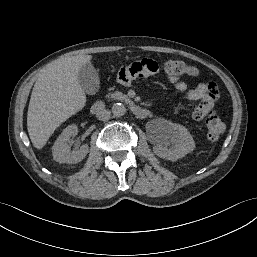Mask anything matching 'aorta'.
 I'll list each match as a JSON object with an SVG mask.
<instances>
[{"label":"aorta","mask_w":257,"mask_h":257,"mask_svg":"<svg viewBox=\"0 0 257 257\" xmlns=\"http://www.w3.org/2000/svg\"><path fill=\"white\" fill-rule=\"evenodd\" d=\"M112 113L116 117H121V116L125 115L126 108L122 103H115L112 106Z\"/></svg>","instance_id":"obj_1"}]
</instances>
